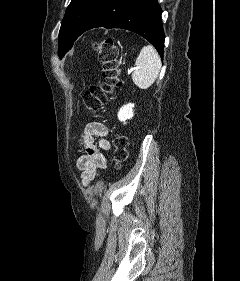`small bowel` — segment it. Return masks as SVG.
<instances>
[{
    "label": "small bowel",
    "mask_w": 240,
    "mask_h": 281,
    "mask_svg": "<svg viewBox=\"0 0 240 281\" xmlns=\"http://www.w3.org/2000/svg\"><path fill=\"white\" fill-rule=\"evenodd\" d=\"M108 128L101 122H89L81 131L79 144L84 153L77 159V169L81 171V183L87 187L107 165L102 151H108L111 143L107 138ZM97 140V142H96Z\"/></svg>",
    "instance_id": "c3829d8e"
}]
</instances>
